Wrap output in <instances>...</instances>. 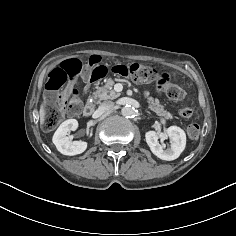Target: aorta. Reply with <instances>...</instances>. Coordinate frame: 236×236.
Returning <instances> with one entry per match:
<instances>
[{
    "mask_svg": "<svg viewBox=\"0 0 236 236\" xmlns=\"http://www.w3.org/2000/svg\"><path fill=\"white\" fill-rule=\"evenodd\" d=\"M121 113L124 117H132L135 113V110L132 106L126 105L122 108Z\"/></svg>",
    "mask_w": 236,
    "mask_h": 236,
    "instance_id": "762f6f07",
    "label": "aorta"
}]
</instances>
